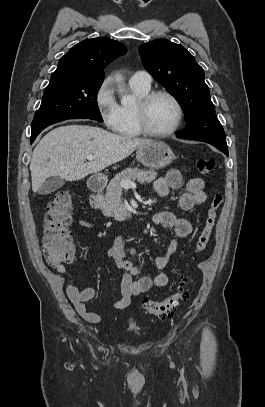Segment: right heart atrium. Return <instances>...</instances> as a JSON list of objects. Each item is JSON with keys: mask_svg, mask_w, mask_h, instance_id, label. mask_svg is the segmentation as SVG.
Here are the masks:
<instances>
[{"mask_svg": "<svg viewBox=\"0 0 265 407\" xmlns=\"http://www.w3.org/2000/svg\"><path fill=\"white\" fill-rule=\"evenodd\" d=\"M94 103L103 124L115 131L119 122V105L109 80L103 81L94 95Z\"/></svg>", "mask_w": 265, "mask_h": 407, "instance_id": "right-heart-atrium-1", "label": "right heart atrium"}]
</instances>
